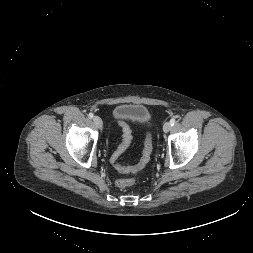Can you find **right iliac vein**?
<instances>
[{"label": "right iliac vein", "instance_id": "63e3f726", "mask_svg": "<svg viewBox=\"0 0 253 253\" xmlns=\"http://www.w3.org/2000/svg\"><path fill=\"white\" fill-rule=\"evenodd\" d=\"M93 121L97 128H102V120L100 117L94 116Z\"/></svg>", "mask_w": 253, "mask_h": 253}]
</instances>
